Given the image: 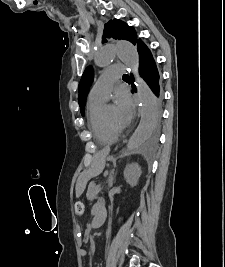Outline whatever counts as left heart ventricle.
Returning a JSON list of instances; mask_svg holds the SVG:
<instances>
[{"mask_svg": "<svg viewBox=\"0 0 225 267\" xmlns=\"http://www.w3.org/2000/svg\"><path fill=\"white\" fill-rule=\"evenodd\" d=\"M106 119L115 127L120 128V125L116 118V110L113 107L107 108L105 111Z\"/></svg>", "mask_w": 225, "mask_h": 267, "instance_id": "obj_1", "label": "left heart ventricle"}]
</instances>
